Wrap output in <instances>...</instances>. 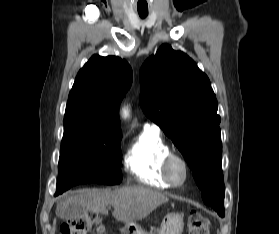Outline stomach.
<instances>
[{"label":"stomach","instance_id":"stomach-1","mask_svg":"<svg viewBox=\"0 0 279 234\" xmlns=\"http://www.w3.org/2000/svg\"><path fill=\"white\" fill-rule=\"evenodd\" d=\"M183 227V216L169 213L163 218L158 234H182ZM121 232L122 234H147L136 222L125 223Z\"/></svg>","mask_w":279,"mask_h":234}]
</instances>
